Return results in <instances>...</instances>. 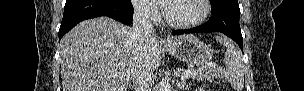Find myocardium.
Here are the masks:
<instances>
[{
  "label": "myocardium",
  "mask_w": 304,
  "mask_h": 91,
  "mask_svg": "<svg viewBox=\"0 0 304 91\" xmlns=\"http://www.w3.org/2000/svg\"><path fill=\"white\" fill-rule=\"evenodd\" d=\"M170 1H175V0L166 1L163 5L164 18H165L166 23L169 26L178 28V29H190V28H194V27L201 25L207 19V17L210 14V11H211V6H210L209 0H199L203 7V11H202V14L200 15V17L191 22H177V21L172 20L170 18V16L168 15L167 4Z\"/></svg>",
  "instance_id": "obj_1"
}]
</instances>
